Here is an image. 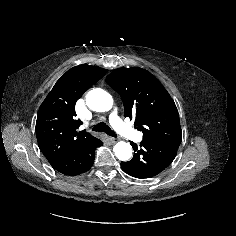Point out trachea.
Listing matches in <instances>:
<instances>
[{
    "label": "trachea",
    "instance_id": "3493384b",
    "mask_svg": "<svg viewBox=\"0 0 236 236\" xmlns=\"http://www.w3.org/2000/svg\"><path fill=\"white\" fill-rule=\"evenodd\" d=\"M92 130L95 132H104L112 137H117V135L111 130V128L104 122L96 124Z\"/></svg>",
    "mask_w": 236,
    "mask_h": 236
}]
</instances>
